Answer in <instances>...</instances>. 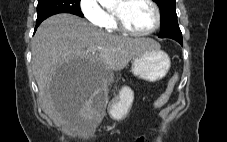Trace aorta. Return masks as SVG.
<instances>
[{"mask_svg": "<svg viewBox=\"0 0 227 142\" xmlns=\"http://www.w3.org/2000/svg\"><path fill=\"white\" fill-rule=\"evenodd\" d=\"M116 1H117V0H100L101 4H102L103 6H108V5H110V4H114V3H116Z\"/></svg>", "mask_w": 227, "mask_h": 142, "instance_id": "1", "label": "aorta"}]
</instances>
